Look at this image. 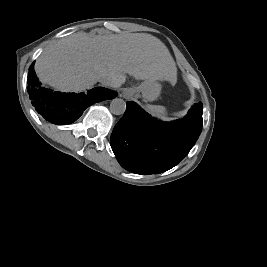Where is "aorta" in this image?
Returning <instances> with one entry per match:
<instances>
[{
  "instance_id": "aorta-1",
  "label": "aorta",
  "mask_w": 267,
  "mask_h": 267,
  "mask_svg": "<svg viewBox=\"0 0 267 267\" xmlns=\"http://www.w3.org/2000/svg\"><path fill=\"white\" fill-rule=\"evenodd\" d=\"M126 110V102L121 98H115L110 103V111L114 115H122Z\"/></svg>"
}]
</instances>
